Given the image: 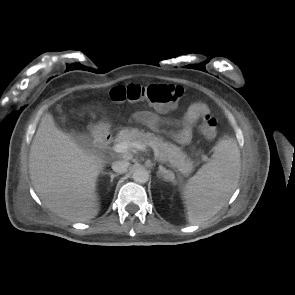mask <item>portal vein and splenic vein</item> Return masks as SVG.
<instances>
[{
    "label": "portal vein and splenic vein",
    "instance_id": "obj_1",
    "mask_svg": "<svg viewBox=\"0 0 295 295\" xmlns=\"http://www.w3.org/2000/svg\"><path fill=\"white\" fill-rule=\"evenodd\" d=\"M130 148H136L138 150H146L147 146L144 143L141 142H120L113 146V150L116 153H125Z\"/></svg>",
    "mask_w": 295,
    "mask_h": 295
}]
</instances>
